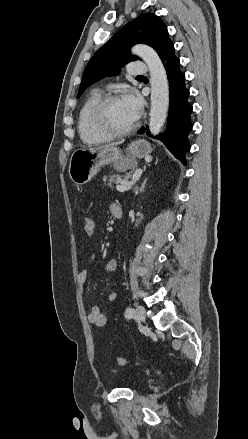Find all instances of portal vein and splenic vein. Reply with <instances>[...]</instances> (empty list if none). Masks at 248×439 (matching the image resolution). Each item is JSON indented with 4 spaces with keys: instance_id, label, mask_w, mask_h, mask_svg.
<instances>
[{
    "instance_id": "portal-vein-and-splenic-vein-1",
    "label": "portal vein and splenic vein",
    "mask_w": 248,
    "mask_h": 439,
    "mask_svg": "<svg viewBox=\"0 0 248 439\" xmlns=\"http://www.w3.org/2000/svg\"><path fill=\"white\" fill-rule=\"evenodd\" d=\"M142 171L140 169L136 170V172L133 175V179L131 182H121L120 185L116 186L117 191L119 192H125L127 190H129L135 183L136 181L139 179L140 175H141Z\"/></svg>"
}]
</instances>
